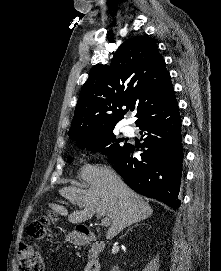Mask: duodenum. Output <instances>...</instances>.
<instances>
[{"label":"duodenum","instance_id":"obj_1","mask_svg":"<svg viewBox=\"0 0 221 271\" xmlns=\"http://www.w3.org/2000/svg\"><path fill=\"white\" fill-rule=\"evenodd\" d=\"M71 242L77 246H84L91 244L92 257L88 261L85 271H100L101 261L99 254L104 248V242L96 237L90 230H79L71 237Z\"/></svg>","mask_w":221,"mask_h":271}]
</instances>
